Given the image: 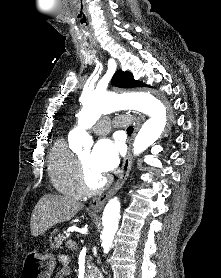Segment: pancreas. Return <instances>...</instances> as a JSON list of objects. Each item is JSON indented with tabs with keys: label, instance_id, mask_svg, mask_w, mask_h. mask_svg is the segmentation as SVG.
Masks as SVG:
<instances>
[{
	"label": "pancreas",
	"instance_id": "pancreas-1",
	"mask_svg": "<svg viewBox=\"0 0 221 278\" xmlns=\"http://www.w3.org/2000/svg\"><path fill=\"white\" fill-rule=\"evenodd\" d=\"M66 238H67V237L64 236V235H59L58 237H55L54 242L51 244V246H52L53 248H59V247H61L63 241H65ZM65 245H66L67 248H69V249H71V250H77L76 244H72V245H71V244H69V243L67 242ZM90 261H91V257L89 256L88 261H87V265L90 264Z\"/></svg>",
	"mask_w": 221,
	"mask_h": 278
}]
</instances>
